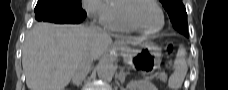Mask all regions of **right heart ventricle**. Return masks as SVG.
Wrapping results in <instances>:
<instances>
[{
    "instance_id": "right-heart-ventricle-1",
    "label": "right heart ventricle",
    "mask_w": 228,
    "mask_h": 90,
    "mask_svg": "<svg viewBox=\"0 0 228 90\" xmlns=\"http://www.w3.org/2000/svg\"><path fill=\"white\" fill-rule=\"evenodd\" d=\"M128 0H111L109 1L110 17L106 23V27L109 30L117 32H133L134 28L129 26L122 18V7Z\"/></svg>"
}]
</instances>
